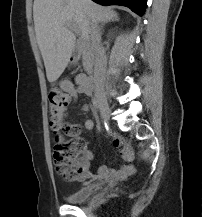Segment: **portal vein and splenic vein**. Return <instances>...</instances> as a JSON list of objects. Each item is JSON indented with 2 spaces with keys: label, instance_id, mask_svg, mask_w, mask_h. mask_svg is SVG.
<instances>
[{
  "label": "portal vein and splenic vein",
  "instance_id": "portal-vein-and-splenic-vein-1",
  "mask_svg": "<svg viewBox=\"0 0 202 217\" xmlns=\"http://www.w3.org/2000/svg\"><path fill=\"white\" fill-rule=\"evenodd\" d=\"M66 26L68 28H70L71 30H73L75 33H79V30L77 29V27L71 23H67Z\"/></svg>",
  "mask_w": 202,
  "mask_h": 217
}]
</instances>
